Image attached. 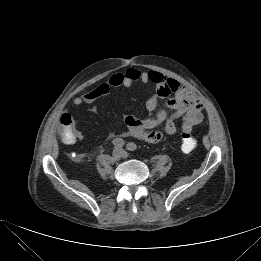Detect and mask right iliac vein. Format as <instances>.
<instances>
[{"label":"right iliac vein","instance_id":"63e3f726","mask_svg":"<svg viewBox=\"0 0 261 261\" xmlns=\"http://www.w3.org/2000/svg\"><path fill=\"white\" fill-rule=\"evenodd\" d=\"M123 155V151L120 148H115L112 152V160L114 162L119 161Z\"/></svg>","mask_w":261,"mask_h":261}]
</instances>
